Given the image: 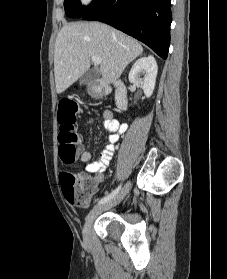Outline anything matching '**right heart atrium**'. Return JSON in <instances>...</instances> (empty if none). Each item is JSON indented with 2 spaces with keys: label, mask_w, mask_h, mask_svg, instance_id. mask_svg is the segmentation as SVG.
<instances>
[{
  "label": "right heart atrium",
  "mask_w": 227,
  "mask_h": 279,
  "mask_svg": "<svg viewBox=\"0 0 227 279\" xmlns=\"http://www.w3.org/2000/svg\"><path fill=\"white\" fill-rule=\"evenodd\" d=\"M84 4H92L95 0H81Z\"/></svg>",
  "instance_id": "d8ad5b80"
}]
</instances>
